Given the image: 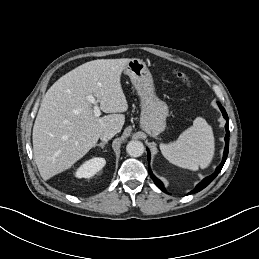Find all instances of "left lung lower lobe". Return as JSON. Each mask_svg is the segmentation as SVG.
Returning a JSON list of instances; mask_svg holds the SVG:
<instances>
[{
  "label": "left lung lower lobe",
  "instance_id": "1",
  "mask_svg": "<svg viewBox=\"0 0 259 259\" xmlns=\"http://www.w3.org/2000/svg\"><path fill=\"white\" fill-rule=\"evenodd\" d=\"M218 106L224 116V118L227 120L226 122V125H225V128H226V136H225V142H226V145H225V150H224V155H223V159H222V162L221 164L216 168V171L211 175V176H208L206 177L205 179H203L202 182H200L193 191H191L189 194H192V193H196V192H199L201 191L202 189H204L206 186H208L214 179L215 177L218 175V173L221 171L226 159H227V155H228V149H229V136H230V132H229V120H228V116H227V113L225 111V109L221 106V104L218 102ZM147 152H148V161L150 159V152L149 150L147 149ZM149 167V166H148ZM149 173H150V176L151 178L153 179V181L155 182V184L165 193L166 190H165V187L163 185V183L157 179L153 173L151 172L150 170V167H149Z\"/></svg>",
  "mask_w": 259,
  "mask_h": 259
}]
</instances>
